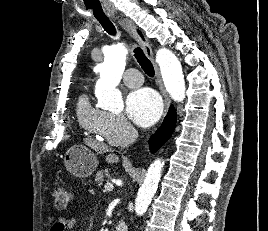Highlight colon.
Segmentation results:
<instances>
[{
    "instance_id": "1",
    "label": "colon",
    "mask_w": 268,
    "mask_h": 231,
    "mask_svg": "<svg viewBox=\"0 0 268 231\" xmlns=\"http://www.w3.org/2000/svg\"><path fill=\"white\" fill-rule=\"evenodd\" d=\"M51 193L56 206L59 209H65L70 201V193L60 186L53 187Z\"/></svg>"
}]
</instances>
